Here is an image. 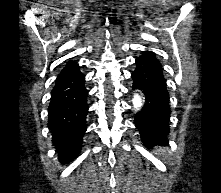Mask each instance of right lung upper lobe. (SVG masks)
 Returning <instances> with one entry per match:
<instances>
[{
    "label": "right lung upper lobe",
    "instance_id": "obj_1",
    "mask_svg": "<svg viewBox=\"0 0 221 193\" xmlns=\"http://www.w3.org/2000/svg\"><path fill=\"white\" fill-rule=\"evenodd\" d=\"M75 67H77V63H75L74 61H69V62L66 63L64 69L61 72L71 70Z\"/></svg>",
    "mask_w": 221,
    "mask_h": 193
}]
</instances>
